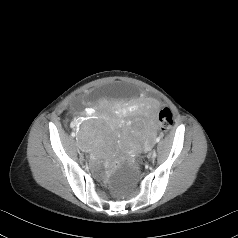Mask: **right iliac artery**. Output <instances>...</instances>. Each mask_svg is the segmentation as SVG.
I'll return each mask as SVG.
<instances>
[{"instance_id": "right-iliac-artery-1", "label": "right iliac artery", "mask_w": 238, "mask_h": 238, "mask_svg": "<svg viewBox=\"0 0 238 238\" xmlns=\"http://www.w3.org/2000/svg\"><path fill=\"white\" fill-rule=\"evenodd\" d=\"M71 136H72V137H75V133H74V132H72V133H71Z\"/></svg>"}]
</instances>
